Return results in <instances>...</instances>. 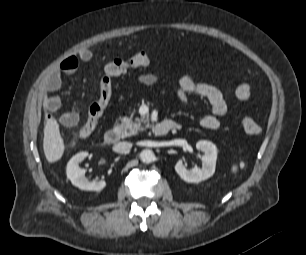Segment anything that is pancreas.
<instances>
[{
	"mask_svg": "<svg viewBox=\"0 0 306 255\" xmlns=\"http://www.w3.org/2000/svg\"><path fill=\"white\" fill-rule=\"evenodd\" d=\"M149 125V120L146 117H136L133 121L132 117L121 118V124L118 125L121 137L125 138L131 135H135L138 132H142Z\"/></svg>",
	"mask_w": 306,
	"mask_h": 255,
	"instance_id": "1",
	"label": "pancreas"
}]
</instances>
